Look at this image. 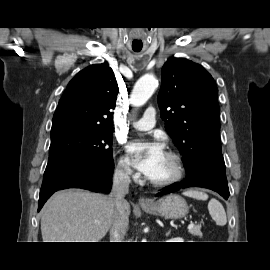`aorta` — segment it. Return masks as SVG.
I'll use <instances>...</instances> for the list:
<instances>
[{
  "label": "aorta",
  "instance_id": "762f6f07",
  "mask_svg": "<svg viewBox=\"0 0 270 270\" xmlns=\"http://www.w3.org/2000/svg\"><path fill=\"white\" fill-rule=\"evenodd\" d=\"M158 86L157 79L151 75L147 74L142 76L135 84L131 93V102L133 105L139 107L147 102V100L152 96L155 89Z\"/></svg>",
  "mask_w": 270,
  "mask_h": 270
}]
</instances>
